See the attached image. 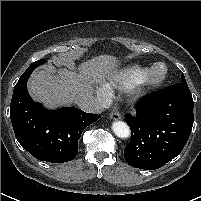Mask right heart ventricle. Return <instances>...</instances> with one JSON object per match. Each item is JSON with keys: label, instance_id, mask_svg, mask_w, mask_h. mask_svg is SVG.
I'll use <instances>...</instances> for the list:
<instances>
[{"label": "right heart ventricle", "instance_id": "1", "mask_svg": "<svg viewBox=\"0 0 201 201\" xmlns=\"http://www.w3.org/2000/svg\"><path fill=\"white\" fill-rule=\"evenodd\" d=\"M147 67L133 64L119 71L113 78V85L118 88L134 86L146 73Z\"/></svg>", "mask_w": 201, "mask_h": 201}]
</instances>
